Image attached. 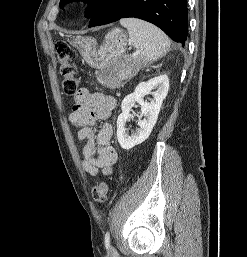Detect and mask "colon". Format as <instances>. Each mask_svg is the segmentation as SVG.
Returning <instances> with one entry per match:
<instances>
[{"mask_svg": "<svg viewBox=\"0 0 247 257\" xmlns=\"http://www.w3.org/2000/svg\"><path fill=\"white\" fill-rule=\"evenodd\" d=\"M59 73L62 79V89L66 95H73L78 91L81 78L77 76V67L74 63L76 52L68 44L59 43L56 45ZM109 185L105 181L97 183L92 188L94 201L103 203L107 200Z\"/></svg>", "mask_w": 247, "mask_h": 257, "instance_id": "1", "label": "colon"}]
</instances>
